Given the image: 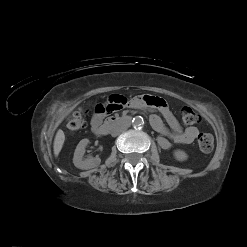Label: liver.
<instances>
[{
	"mask_svg": "<svg viewBox=\"0 0 247 247\" xmlns=\"http://www.w3.org/2000/svg\"><path fill=\"white\" fill-rule=\"evenodd\" d=\"M64 141H65V134L61 129H59L55 135L54 144H53V151L56 157L59 155L63 147Z\"/></svg>",
	"mask_w": 247,
	"mask_h": 247,
	"instance_id": "obj_1",
	"label": "liver"
}]
</instances>
